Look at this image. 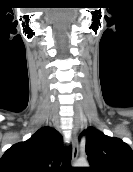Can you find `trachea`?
<instances>
[{
    "instance_id": "3493384b",
    "label": "trachea",
    "mask_w": 133,
    "mask_h": 172,
    "mask_svg": "<svg viewBox=\"0 0 133 172\" xmlns=\"http://www.w3.org/2000/svg\"><path fill=\"white\" fill-rule=\"evenodd\" d=\"M63 165H65V166L71 165V148H67L65 150V153L63 156Z\"/></svg>"
}]
</instances>
